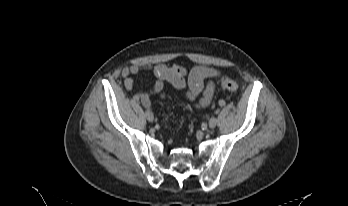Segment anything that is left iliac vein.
<instances>
[{
    "label": "left iliac vein",
    "mask_w": 348,
    "mask_h": 206,
    "mask_svg": "<svg viewBox=\"0 0 348 206\" xmlns=\"http://www.w3.org/2000/svg\"><path fill=\"white\" fill-rule=\"evenodd\" d=\"M217 125V118L215 117H212L210 120H209V128L213 129L215 128Z\"/></svg>",
    "instance_id": "1"
}]
</instances>
